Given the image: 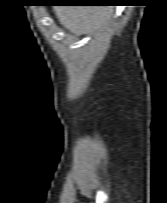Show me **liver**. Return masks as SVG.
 Segmentation results:
<instances>
[{
  "mask_svg": "<svg viewBox=\"0 0 167 203\" xmlns=\"http://www.w3.org/2000/svg\"><path fill=\"white\" fill-rule=\"evenodd\" d=\"M59 22L75 34H90L104 28L113 9L102 6H60L54 9Z\"/></svg>",
  "mask_w": 167,
  "mask_h": 203,
  "instance_id": "6515ba94",
  "label": "liver"
}]
</instances>
